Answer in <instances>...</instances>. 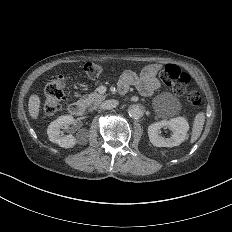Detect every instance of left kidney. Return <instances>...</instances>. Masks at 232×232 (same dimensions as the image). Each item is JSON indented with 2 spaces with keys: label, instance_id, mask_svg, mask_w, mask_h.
<instances>
[{
  "label": "left kidney",
  "instance_id": "left-kidney-1",
  "mask_svg": "<svg viewBox=\"0 0 232 232\" xmlns=\"http://www.w3.org/2000/svg\"><path fill=\"white\" fill-rule=\"evenodd\" d=\"M168 127L172 132L170 138H164L159 135L162 127ZM189 124L184 117L172 118L169 121L163 120L156 122L148 127V136L150 142L156 147H174L180 145L187 137Z\"/></svg>",
  "mask_w": 232,
  "mask_h": 232
}]
</instances>
